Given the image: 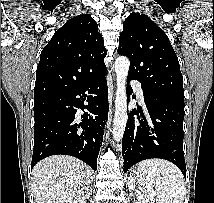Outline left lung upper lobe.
I'll list each match as a JSON object with an SVG mask.
<instances>
[{"label": "left lung upper lobe", "mask_w": 214, "mask_h": 203, "mask_svg": "<svg viewBox=\"0 0 214 203\" xmlns=\"http://www.w3.org/2000/svg\"><path fill=\"white\" fill-rule=\"evenodd\" d=\"M117 52L130 60L128 77L142 90L184 98L183 77L164 31L148 16L132 12L123 23Z\"/></svg>", "instance_id": "5c2ea615"}]
</instances>
